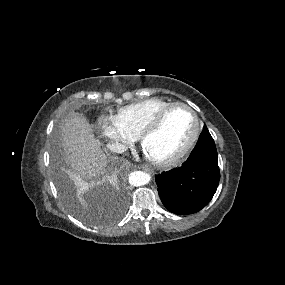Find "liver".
<instances>
[{
    "label": "liver",
    "instance_id": "liver-1",
    "mask_svg": "<svg viewBox=\"0 0 285 285\" xmlns=\"http://www.w3.org/2000/svg\"><path fill=\"white\" fill-rule=\"evenodd\" d=\"M61 134L66 163L78 185H86L83 178L94 179L106 173L107 157L84 117L74 115L66 119Z\"/></svg>",
    "mask_w": 285,
    "mask_h": 285
}]
</instances>
